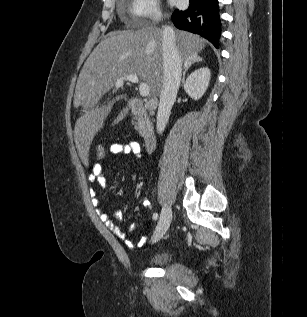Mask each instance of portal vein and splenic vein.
<instances>
[{
  "label": "portal vein and splenic vein",
  "instance_id": "18ae733b",
  "mask_svg": "<svg viewBox=\"0 0 307 317\" xmlns=\"http://www.w3.org/2000/svg\"><path fill=\"white\" fill-rule=\"evenodd\" d=\"M124 81H129L131 83H139V92L140 95L142 97H147L150 93L149 91V87L146 83L144 82H140L138 76L133 75V74H129L126 75L122 78H119L116 82H115V87L116 88H120L123 86Z\"/></svg>",
  "mask_w": 307,
  "mask_h": 317
}]
</instances>
